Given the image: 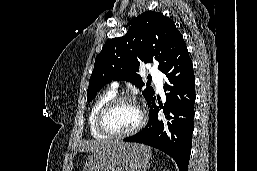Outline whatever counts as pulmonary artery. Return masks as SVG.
<instances>
[{"mask_svg":"<svg viewBox=\"0 0 257 171\" xmlns=\"http://www.w3.org/2000/svg\"><path fill=\"white\" fill-rule=\"evenodd\" d=\"M150 75L155 81L157 90L161 92L163 89V75L154 67L150 68ZM111 86L113 90H117L119 84L115 81L111 84Z\"/></svg>","mask_w":257,"mask_h":171,"instance_id":"obj_1","label":"pulmonary artery"}]
</instances>
